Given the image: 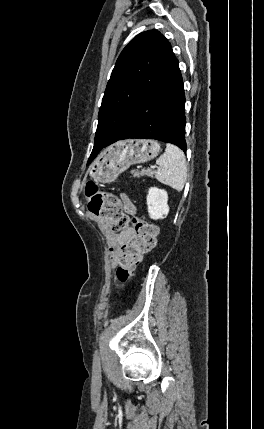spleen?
Segmentation results:
<instances>
[{
	"instance_id": "1",
	"label": "spleen",
	"mask_w": 264,
	"mask_h": 429,
	"mask_svg": "<svg viewBox=\"0 0 264 429\" xmlns=\"http://www.w3.org/2000/svg\"><path fill=\"white\" fill-rule=\"evenodd\" d=\"M156 163L159 165L155 172L156 179L178 192L182 191L187 178V165L183 151L168 143L164 154L156 160Z\"/></svg>"
}]
</instances>
